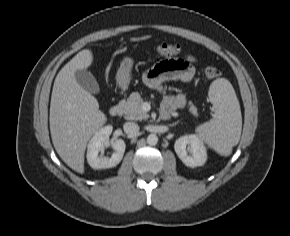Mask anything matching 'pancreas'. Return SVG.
Wrapping results in <instances>:
<instances>
[{
  "mask_svg": "<svg viewBox=\"0 0 290 236\" xmlns=\"http://www.w3.org/2000/svg\"><path fill=\"white\" fill-rule=\"evenodd\" d=\"M143 99L138 92L130 94L127 101L122 102L124 109V117L127 120H143L149 117V114L142 110L141 104ZM189 111L194 115L198 116L197 108L192 103H189Z\"/></svg>",
  "mask_w": 290,
  "mask_h": 236,
  "instance_id": "cf45deb5",
  "label": "pancreas"
}]
</instances>
